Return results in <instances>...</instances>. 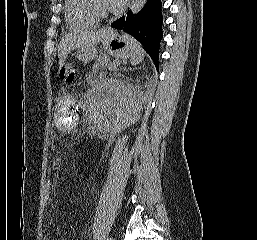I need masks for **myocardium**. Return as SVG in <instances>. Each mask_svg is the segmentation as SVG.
I'll list each match as a JSON object with an SVG mask.
<instances>
[{"mask_svg":"<svg viewBox=\"0 0 257 240\" xmlns=\"http://www.w3.org/2000/svg\"><path fill=\"white\" fill-rule=\"evenodd\" d=\"M85 10L88 14L96 19L97 21H102L110 17V11H102L96 5V0H83Z\"/></svg>","mask_w":257,"mask_h":240,"instance_id":"obj_1","label":"myocardium"}]
</instances>
